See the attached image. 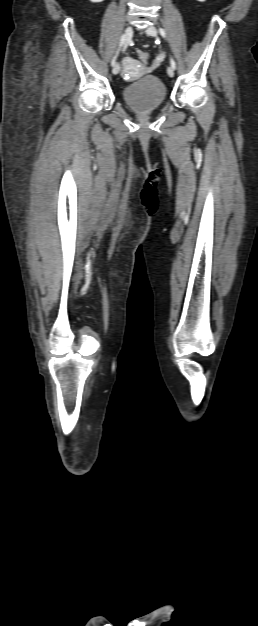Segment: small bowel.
Returning a JSON list of instances; mask_svg holds the SVG:
<instances>
[{
    "label": "small bowel",
    "instance_id": "obj_1",
    "mask_svg": "<svg viewBox=\"0 0 258 626\" xmlns=\"http://www.w3.org/2000/svg\"><path fill=\"white\" fill-rule=\"evenodd\" d=\"M163 58H164L163 54H160L157 57L154 66H158L161 63V61L163 60ZM136 67H138V63L136 61H134L132 59H127L125 61V69H126L127 72H131Z\"/></svg>",
    "mask_w": 258,
    "mask_h": 626
}]
</instances>
